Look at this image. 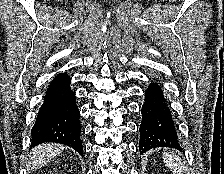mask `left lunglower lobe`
I'll return each mask as SVG.
<instances>
[{
	"instance_id": "1",
	"label": "left lung lower lobe",
	"mask_w": 224,
	"mask_h": 174,
	"mask_svg": "<svg viewBox=\"0 0 224 174\" xmlns=\"http://www.w3.org/2000/svg\"><path fill=\"white\" fill-rule=\"evenodd\" d=\"M141 113L140 153L156 147L180 149L171 111L158 84L152 82L146 89Z\"/></svg>"
}]
</instances>
